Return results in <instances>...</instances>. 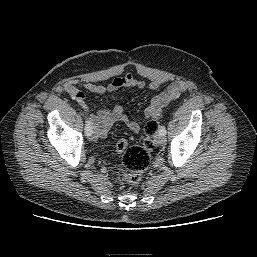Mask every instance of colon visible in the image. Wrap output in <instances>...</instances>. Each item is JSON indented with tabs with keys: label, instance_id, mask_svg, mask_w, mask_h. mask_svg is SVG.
I'll use <instances>...</instances> for the list:
<instances>
[{
	"label": "colon",
	"instance_id": "5ec220e1",
	"mask_svg": "<svg viewBox=\"0 0 257 257\" xmlns=\"http://www.w3.org/2000/svg\"><path fill=\"white\" fill-rule=\"evenodd\" d=\"M158 128L157 119H152L145 125V138L142 146H131L125 138L116 144V150L122 154L121 162L116 171L117 179L122 183L137 184L149 167L159 148L154 140Z\"/></svg>",
	"mask_w": 257,
	"mask_h": 257
}]
</instances>
